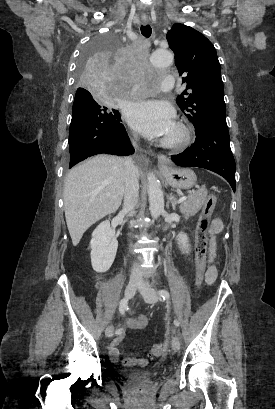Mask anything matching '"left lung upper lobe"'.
<instances>
[{"mask_svg":"<svg viewBox=\"0 0 275 409\" xmlns=\"http://www.w3.org/2000/svg\"><path fill=\"white\" fill-rule=\"evenodd\" d=\"M167 40L175 53L179 75H184L182 82L186 84V90L177 97V104L193 122L195 132L211 123L226 124L221 68L212 43L181 23L172 26Z\"/></svg>","mask_w":275,"mask_h":409,"instance_id":"1","label":"left lung upper lobe"}]
</instances>
